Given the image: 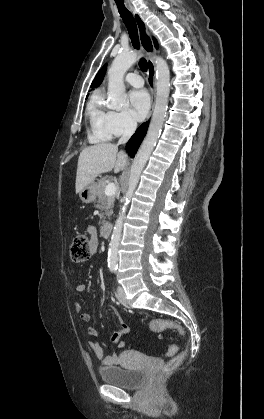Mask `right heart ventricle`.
<instances>
[{"instance_id": "obj_1", "label": "right heart ventricle", "mask_w": 264, "mask_h": 419, "mask_svg": "<svg viewBox=\"0 0 264 419\" xmlns=\"http://www.w3.org/2000/svg\"><path fill=\"white\" fill-rule=\"evenodd\" d=\"M110 110L105 103L102 90H96L87 105V137L91 143L106 142L111 139L109 127Z\"/></svg>"}]
</instances>
